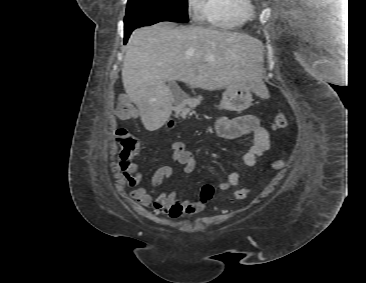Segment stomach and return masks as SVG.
Here are the masks:
<instances>
[{"mask_svg": "<svg viewBox=\"0 0 366 283\" xmlns=\"http://www.w3.org/2000/svg\"><path fill=\"white\" fill-rule=\"evenodd\" d=\"M236 100H241L243 102L241 108L235 105ZM252 101L251 91L247 85H229L226 87V91L223 94L219 109L239 111L249 107Z\"/></svg>", "mask_w": 366, "mask_h": 283, "instance_id": "obj_1", "label": "stomach"}]
</instances>
